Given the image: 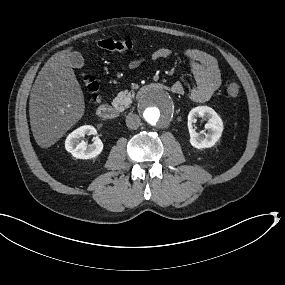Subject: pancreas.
Returning <instances> with one entry per match:
<instances>
[{
    "label": "pancreas",
    "instance_id": "1",
    "mask_svg": "<svg viewBox=\"0 0 285 285\" xmlns=\"http://www.w3.org/2000/svg\"><path fill=\"white\" fill-rule=\"evenodd\" d=\"M137 98V95L131 91H120L116 93L115 98L111 100L113 105H116V110L122 111L128 108Z\"/></svg>",
    "mask_w": 285,
    "mask_h": 285
}]
</instances>
